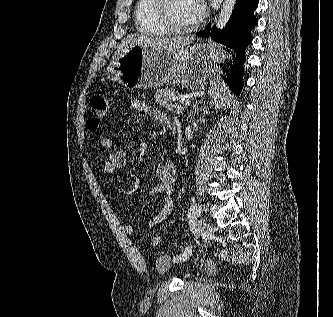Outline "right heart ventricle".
<instances>
[{
	"label": "right heart ventricle",
	"mask_w": 333,
	"mask_h": 317,
	"mask_svg": "<svg viewBox=\"0 0 333 317\" xmlns=\"http://www.w3.org/2000/svg\"><path fill=\"white\" fill-rule=\"evenodd\" d=\"M152 5L153 0H138L134 12L136 28L146 36H164L167 32L156 21Z\"/></svg>",
	"instance_id": "obj_1"
}]
</instances>
